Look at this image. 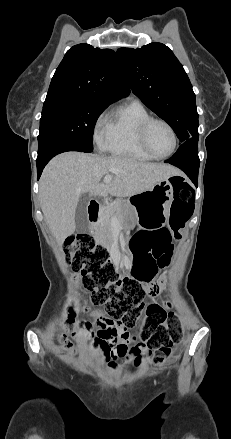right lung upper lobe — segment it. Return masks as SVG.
Instances as JSON below:
<instances>
[{
  "label": "right lung upper lobe",
  "instance_id": "cb5924a9",
  "mask_svg": "<svg viewBox=\"0 0 231 439\" xmlns=\"http://www.w3.org/2000/svg\"><path fill=\"white\" fill-rule=\"evenodd\" d=\"M129 93L113 50L78 44L56 69L44 104L82 100L109 105Z\"/></svg>",
  "mask_w": 231,
  "mask_h": 439
}]
</instances>
